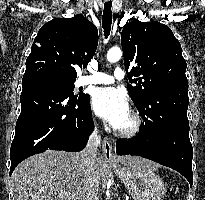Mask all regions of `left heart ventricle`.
<instances>
[{
  "label": "left heart ventricle",
  "instance_id": "b2bd125f",
  "mask_svg": "<svg viewBox=\"0 0 205 200\" xmlns=\"http://www.w3.org/2000/svg\"><path fill=\"white\" fill-rule=\"evenodd\" d=\"M131 124H132V119L129 114V116L124 120V122L120 125L118 129H127L131 126Z\"/></svg>",
  "mask_w": 205,
  "mask_h": 200
}]
</instances>
